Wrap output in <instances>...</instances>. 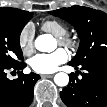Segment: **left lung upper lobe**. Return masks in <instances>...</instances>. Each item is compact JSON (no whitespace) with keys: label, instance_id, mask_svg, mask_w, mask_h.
I'll list each match as a JSON object with an SVG mask.
<instances>
[{"label":"left lung upper lobe","instance_id":"1","mask_svg":"<svg viewBox=\"0 0 107 107\" xmlns=\"http://www.w3.org/2000/svg\"><path fill=\"white\" fill-rule=\"evenodd\" d=\"M77 30L80 38L79 49L69 62L80 66L98 58H107V14L88 7L72 6L50 11Z\"/></svg>","mask_w":107,"mask_h":107}]
</instances>
